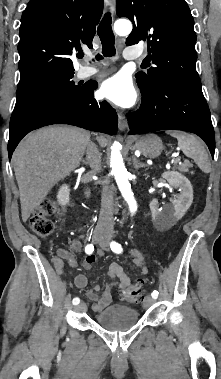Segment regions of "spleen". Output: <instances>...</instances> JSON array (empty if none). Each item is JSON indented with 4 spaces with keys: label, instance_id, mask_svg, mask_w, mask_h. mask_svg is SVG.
Listing matches in <instances>:
<instances>
[{
    "label": "spleen",
    "instance_id": "3e777b00",
    "mask_svg": "<svg viewBox=\"0 0 221 379\" xmlns=\"http://www.w3.org/2000/svg\"><path fill=\"white\" fill-rule=\"evenodd\" d=\"M170 134L177 139L178 146L183 153L193 159L204 173L211 171L208 152L195 136L179 131L170 132Z\"/></svg>",
    "mask_w": 221,
    "mask_h": 379
}]
</instances>
